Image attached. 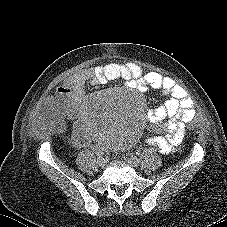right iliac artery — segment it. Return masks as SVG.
Segmentation results:
<instances>
[{
	"label": "right iliac artery",
	"mask_w": 227,
	"mask_h": 227,
	"mask_svg": "<svg viewBox=\"0 0 227 227\" xmlns=\"http://www.w3.org/2000/svg\"><path fill=\"white\" fill-rule=\"evenodd\" d=\"M97 155H98L99 157H101V156L105 155V152H104V151H99V152L97 153Z\"/></svg>",
	"instance_id": "obj_1"
}]
</instances>
